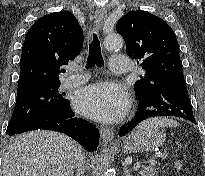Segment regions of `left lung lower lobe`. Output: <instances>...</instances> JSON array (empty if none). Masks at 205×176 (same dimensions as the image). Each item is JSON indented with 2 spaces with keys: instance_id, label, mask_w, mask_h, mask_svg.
<instances>
[{
  "instance_id": "1",
  "label": "left lung lower lobe",
  "mask_w": 205,
  "mask_h": 176,
  "mask_svg": "<svg viewBox=\"0 0 205 176\" xmlns=\"http://www.w3.org/2000/svg\"><path fill=\"white\" fill-rule=\"evenodd\" d=\"M139 99L137 113L132 121L120 128L119 136L126 135L141 122L158 116L181 117L196 124L185 82L165 83Z\"/></svg>"
}]
</instances>
